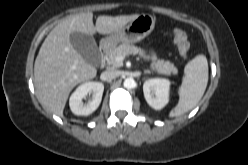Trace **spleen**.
<instances>
[{
  "label": "spleen",
  "mask_w": 248,
  "mask_h": 165,
  "mask_svg": "<svg viewBox=\"0 0 248 165\" xmlns=\"http://www.w3.org/2000/svg\"><path fill=\"white\" fill-rule=\"evenodd\" d=\"M185 77L179 88V101L170 113V117H179L193 109L202 96L208 83V62L205 55H197L187 63Z\"/></svg>",
  "instance_id": "spleen-1"
}]
</instances>
